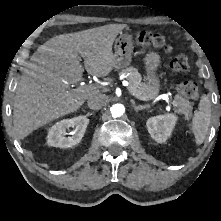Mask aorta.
Masks as SVG:
<instances>
[{"mask_svg":"<svg viewBox=\"0 0 221 221\" xmlns=\"http://www.w3.org/2000/svg\"><path fill=\"white\" fill-rule=\"evenodd\" d=\"M110 111L113 117H121L125 113V107L122 104H114Z\"/></svg>","mask_w":221,"mask_h":221,"instance_id":"obj_1","label":"aorta"}]
</instances>
